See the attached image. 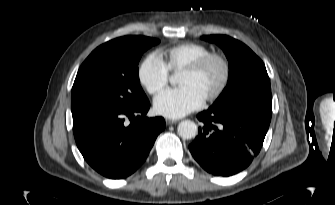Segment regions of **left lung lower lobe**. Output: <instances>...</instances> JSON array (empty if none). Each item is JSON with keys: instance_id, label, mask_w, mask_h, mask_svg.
Returning <instances> with one entry per match:
<instances>
[{"instance_id": "obj_1", "label": "left lung lower lobe", "mask_w": 335, "mask_h": 205, "mask_svg": "<svg viewBox=\"0 0 335 205\" xmlns=\"http://www.w3.org/2000/svg\"><path fill=\"white\" fill-rule=\"evenodd\" d=\"M203 122L189 145L194 159L209 173L231 176L245 169L259 153L271 121V111L234 105L198 114Z\"/></svg>"}]
</instances>
